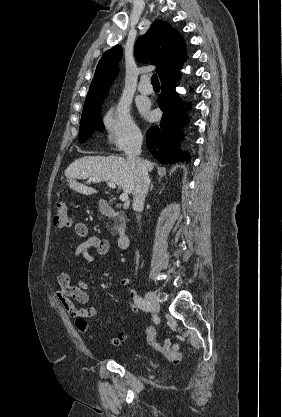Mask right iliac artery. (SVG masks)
Returning a JSON list of instances; mask_svg holds the SVG:
<instances>
[{"instance_id": "right-iliac-artery-1", "label": "right iliac artery", "mask_w": 282, "mask_h": 417, "mask_svg": "<svg viewBox=\"0 0 282 417\" xmlns=\"http://www.w3.org/2000/svg\"><path fill=\"white\" fill-rule=\"evenodd\" d=\"M134 301H135L136 306L142 309L143 311L148 312L151 310L150 303L146 301L145 299H143L142 297L137 296Z\"/></svg>"}]
</instances>
